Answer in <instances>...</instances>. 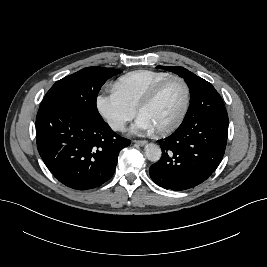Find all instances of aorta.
<instances>
[{"label": "aorta", "instance_id": "obj_1", "mask_svg": "<svg viewBox=\"0 0 267 267\" xmlns=\"http://www.w3.org/2000/svg\"><path fill=\"white\" fill-rule=\"evenodd\" d=\"M145 154L148 160L151 162H157L160 160L162 151L160 146L154 143H149L145 146Z\"/></svg>", "mask_w": 267, "mask_h": 267}]
</instances>
